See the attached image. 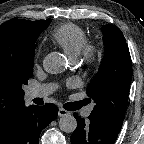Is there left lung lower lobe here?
<instances>
[{
	"instance_id": "0a47b994",
	"label": "left lung lower lobe",
	"mask_w": 144,
	"mask_h": 144,
	"mask_svg": "<svg viewBox=\"0 0 144 144\" xmlns=\"http://www.w3.org/2000/svg\"><path fill=\"white\" fill-rule=\"evenodd\" d=\"M74 117L77 128L71 136V144H114L122 127L92 113L88 121L76 113Z\"/></svg>"
}]
</instances>
